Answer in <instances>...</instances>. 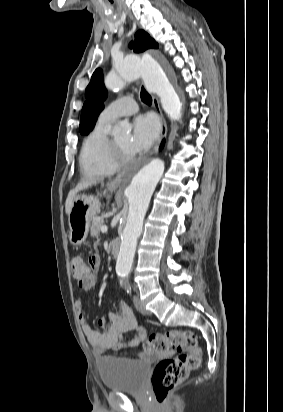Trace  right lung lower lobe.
<instances>
[{
    "label": "right lung lower lobe",
    "instance_id": "98d812e1",
    "mask_svg": "<svg viewBox=\"0 0 283 412\" xmlns=\"http://www.w3.org/2000/svg\"><path fill=\"white\" fill-rule=\"evenodd\" d=\"M163 145H164V141H163V143H162V145H161V148L163 147Z\"/></svg>",
    "mask_w": 283,
    "mask_h": 412
}]
</instances>
